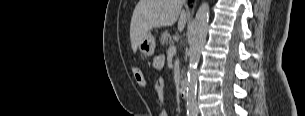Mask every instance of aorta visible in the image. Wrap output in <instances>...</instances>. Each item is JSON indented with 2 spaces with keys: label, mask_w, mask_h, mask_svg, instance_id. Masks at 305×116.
Returning <instances> with one entry per match:
<instances>
[{
  "label": "aorta",
  "mask_w": 305,
  "mask_h": 116,
  "mask_svg": "<svg viewBox=\"0 0 305 116\" xmlns=\"http://www.w3.org/2000/svg\"><path fill=\"white\" fill-rule=\"evenodd\" d=\"M210 9L204 2L199 7L193 22L189 38V66L187 72V110L190 114L196 113L197 67L200 60L201 49L205 43Z\"/></svg>",
  "instance_id": "762f6f07"
}]
</instances>
